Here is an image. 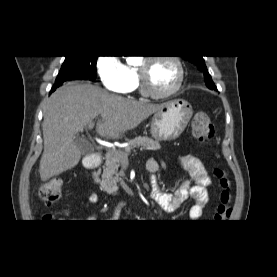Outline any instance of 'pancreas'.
I'll return each instance as SVG.
<instances>
[{
  "label": "pancreas",
  "mask_w": 277,
  "mask_h": 277,
  "mask_svg": "<svg viewBox=\"0 0 277 277\" xmlns=\"http://www.w3.org/2000/svg\"><path fill=\"white\" fill-rule=\"evenodd\" d=\"M135 148L143 150H159L161 148L158 141L146 136H139L129 141V145L124 150L112 152L107 155L106 162L103 166V174L99 178L100 171L93 174L95 181L100 184L101 188L109 194H114L118 191L117 183L122 181L121 177L125 174L119 172V167L126 163L128 154Z\"/></svg>",
  "instance_id": "obj_1"
}]
</instances>
